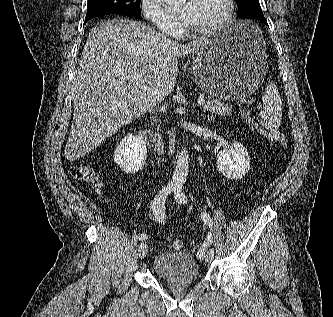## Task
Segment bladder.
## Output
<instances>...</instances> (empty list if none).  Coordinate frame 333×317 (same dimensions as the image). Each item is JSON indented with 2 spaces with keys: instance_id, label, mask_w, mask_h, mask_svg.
I'll use <instances>...</instances> for the list:
<instances>
[{
  "instance_id": "31cf9c89",
  "label": "bladder",
  "mask_w": 333,
  "mask_h": 317,
  "mask_svg": "<svg viewBox=\"0 0 333 317\" xmlns=\"http://www.w3.org/2000/svg\"><path fill=\"white\" fill-rule=\"evenodd\" d=\"M152 270L161 280L173 285L195 282L200 276L197 260L187 252H164L152 261Z\"/></svg>"
}]
</instances>
